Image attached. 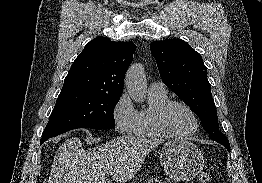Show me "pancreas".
<instances>
[{"instance_id":"pancreas-1","label":"pancreas","mask_w":262,"mask_h":183,"mask_svg":"<svg viewBox=\"0 0 262 183\" xmlns=\"http://www.w3.org/2000/svg\"><path fill=\"white\" fill-rule=\"evenodd\" d=\"M145 183H170V182H162L161 180H158L157 178H149Z\"/></svg>"}]
</instances>
